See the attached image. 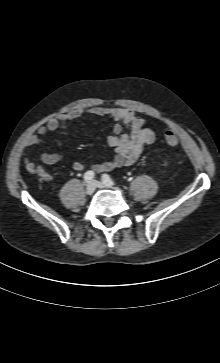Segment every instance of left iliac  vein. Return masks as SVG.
<instances>
[{"label": "left iliac vein", "mask_w": 220, "mask_h": 363, "mask_svg": "<svg viewBox=\"0 0 220 363\" xmlns=\"http://www.w3.org/2000/svg\"><path fill=\"white\" fill-rule=\"evenodd\" d=\"M93 183H94L95 187H97V188H110V187H112V185H107V184H105L103 182H100L98 180H94Z\"/></svg>", "instance_id": "obj_1"}]
</instances>
